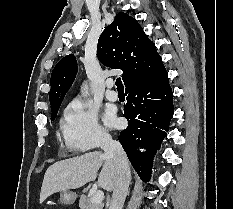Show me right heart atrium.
<instances>
[{"mask_svg":"<svg viewBox=\"0 0 233 209\" xmlns=\"http://www.w3.org/2000/svg\"><path fill=\"white\" fill-rule=\"evenodd\" d=\"M62 132L67 146L75 151L99 148L110 142L109 134L99 123L96 108L81 99L69 103Z\"/></svg>","mask_w":233,"mask_h":209,"instance_id":"obj_1","label":"right heart atrium"}]
</instances>
